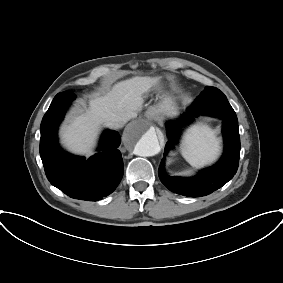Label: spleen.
I'll return each mask as SVG.
<instances>
[{
  "instance_id": "3e777b00",
  "label": "spleen",
  "mask_w": 283,
  "mask_h": 283,
  "mask_svg": "<svg viewBox=\"0 0 283 283\" xmlns=\"http://www.w3.org/2000/svg\"><path fill=\"white\" fill-rule=\"evenodd\" d=\"M220 151L215 131L203 123L191 126L183 135L181 153L192 166L200 168L212 163Z\"/></svg>"
}]
</instances>
